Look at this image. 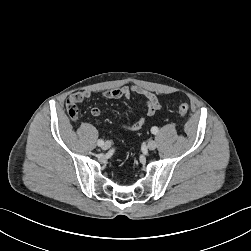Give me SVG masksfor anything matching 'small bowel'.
I'll use <instances>...</instances> for the list:
<instances>
[{
    "label": "small bowel",
    "instance_id": "c3829d8e",
    "mask_svg": "<svg viewBox=\"0 0 251 251\" xmlns=\"http://www.w3.org/2000/svg\"><path fill=\"white\" fill-rule=\"evenodd\" d=\"M137 94L145 100L146 108L144 116L140 117L135 122H120V127L125 131H138L146 123L147 118L152 117L157 111L161 109V104L157 96L142 88L135 85H126L119 88H114L103 93V97L106 99H121L130 98L132 95ZM92 93L89 91L76 92L67 98L66 105L68 112L70 109L76 111L77 118V104L81 103L85 99L91 98ZM90 113L93 117H99L101 115V110L98 106H93L90 109Z\"/></svg>",
    "mask_w": 251,
    "mask_h": 251
}]
</instances>
